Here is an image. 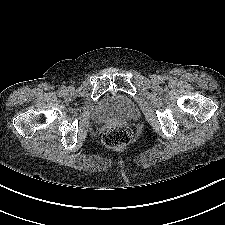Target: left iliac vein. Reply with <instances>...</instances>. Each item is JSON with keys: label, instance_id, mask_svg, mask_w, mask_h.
<instances>
[{"label": "left iliac vein", "instance_id": "1", "mask_svg": "<svg viewBox=\"0 0 225 225\" xmlns=\"http://www.w3.org/2000/svg\"><path fill=\"white\" fill-rule=\"evenodd\" d=\"M151 79H152L153 81H157V80H158V76H157V75H152Z\"/></svg>", "mask_w": 225, "mask_h": 225}]
</instances>
